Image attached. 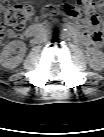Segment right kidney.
I'll list each match as a JSON object with an SVG mask.
<instances>
[{"label":"right kidney","mask_w":104,"mask_h":137,"mask_svg":"<svg viewBox=\"0 0 104 137\" xmlns=\"http://www.w3.org/2000/svg\"><path fill=\"white\" fill-rule=\"evenodd\" d=\"M17 49H19L18 52H16ZM16 53L18 54L15 55ZM25 53V43L21 40H13L5 45L1 51L0 64L5 68L14 69L21 63Z\"/></svg>","instance_id":"obj_1"}]
</instances>
